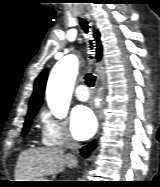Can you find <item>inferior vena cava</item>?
Listing matches in <instances>:
<instances>
[{
    "label": "inferior vena cava",
    "instance_id": "obj_1",
    "mask_svg": "<svg viewBox=\"0 0 160 187\" xmlns=\"http://www.w3.org/2000/svg\"><path fill=\"white\" fill-rule=\"evenodd\" d=\"M78 147V145L75 143V142H73V141H71L69 144H68V148H70V149H75V148H77Z\"/></svg>",
    "mask_w": 160,
    "mask_h": 187
}]
</instances>
